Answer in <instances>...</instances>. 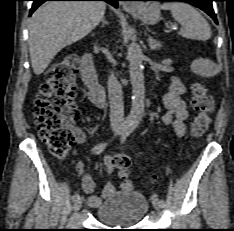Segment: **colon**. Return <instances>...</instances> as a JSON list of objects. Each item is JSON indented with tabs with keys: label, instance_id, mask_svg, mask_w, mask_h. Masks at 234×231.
Listing matches in <instances>:
<instances>
[{
	"label": "colon",
	"instance_id": "1",
	"mask_svg": "<svg viewBox=\"0 0 234 231\" xmlns=\"http://www.w3.org/2000/svg\"><path fill=\"white\" fill-rule=\"evenodd\" d=\"M79 63L78 54L69 53L52 65L45 73L34 104V122L39 135L57 157L65 156L75 142L72 125L79 118L75 103ZM191 91L192 105L196 112L191 133L200 137L209 128L214 104L204 84L194 83ZM114 163L121 178H128L131 158L120 153L114 157Z\"/></svg>",
	"mask_w": 234,
	"mask_h": 231
}]
</instances>
